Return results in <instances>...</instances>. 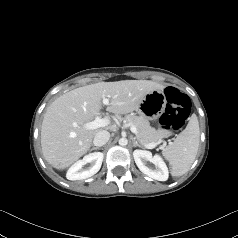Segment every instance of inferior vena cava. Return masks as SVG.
I'll return each mask as SVG.
<instances>
[{"label": "inferior vena cava", "instance_id": "602c4592", "mask_svg": "<svg viewBox=\"0 0 238 238\" xmlns=\"http://www.w3.org/2000/svg\"><path fill=\"white\" fill-rule=\"evenodd\" d=\"M110 139V133L106 130H100L96 133L94 139H93V144L95 146H103L105 145Z\"/></svg>", "mask_w": 238, "mask_h": 238}]
</instances>
